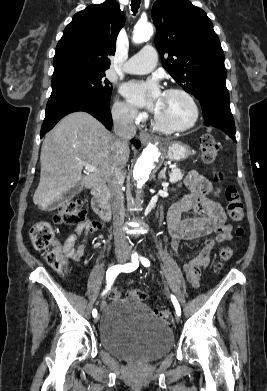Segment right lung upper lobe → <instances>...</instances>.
Segmentation results:
<instances>
[{
	"label": "right lung upper lobe",
	"instance_id": "obj_1",
	"mask_svg": "<svg viewBox=\"0 0 267 391\" xmlns=\"http://www.w3.org/2000/svg\"><path fill=\"white\" fill-rule=\"evenodd\" d=\"M125 17L114 0L76 13L64 29L53 59L52 76L72 71H105L116 50Z\"/></svg>",
	"mask_w": 267,
	"mask_h": 391
}]
</instances>
